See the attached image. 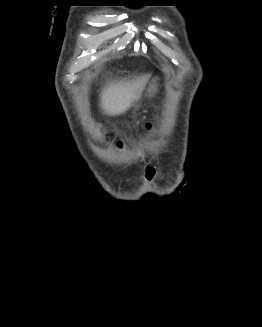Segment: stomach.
I'll return each mask as SVG.
<instances>
[{
	"mask_svg": "<svg viewBox=\"0 0 262 327\" xmlns=\"http://www.w3.org/2000/svg\"><path fill=\"white\" fill-rule=\"evenodd\" d=\"M148 96H153L157 92V81L153 79L150 81L147 89H146Z\"/></svg>",
	"mask_w": 262,
	"mask_h": 327,
	"instance_id": "0dacf381",
	"label": "stomach"
}]
</instances>
